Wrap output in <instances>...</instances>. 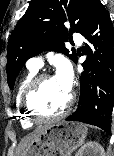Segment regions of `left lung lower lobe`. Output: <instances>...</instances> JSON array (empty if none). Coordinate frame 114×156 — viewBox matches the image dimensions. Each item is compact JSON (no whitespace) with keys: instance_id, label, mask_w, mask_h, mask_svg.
Returning a JSON list of instances; mask_svg holds the SVG:
<instances>
[{"instance_id":"0a47b994","label":"left lung lower lobe","mask_w":114,"mask_h":156,"mask_svg":"<svg viewBox=\"0 0 114 156\" xmlns=\"http://www.w3.org/2000/svg\"><path fill=\"white\" fill-rule=\"evenodd\" d=\"M82 35L95 49L88 61L82 64L85 74L88 68L92 74L90 80L86 75L81 76L78 108L66 120L92 124L110 134L114 104V27L100 1L93 7Z\"/></svg>"}]
</instances>
